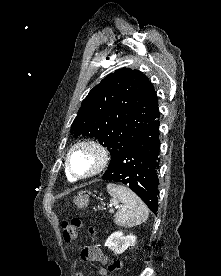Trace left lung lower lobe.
Wrapping results in <instances>:
<instances>
[{
	"instance_id": "0a47b994",
	"label": "left lung lower lobe",
	"mask_w": 221,
	"mask_h": 276,
	"mask_svg": "<svg viewBox=\"0 0 221 276\" xmlns=\"http://www.w3.org/2000/svg\"><path fill=\"white\" fill-rule=\"evenodd\" d=\"M159 116L148 122L124 149L111 158L103 180L124 183L154 213L158 210Z\"/></svg>"
}]
</instances>
